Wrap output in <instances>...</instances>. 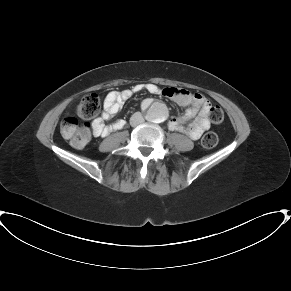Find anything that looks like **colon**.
I'll return each instance as SVG.
<instances>
[{
    "label": "colon",
    "instance_id": "colon-1",
    "mask_svg": "<svg viewBox=\"0 0 291 291\" xmlns=\"http://www.w3.org/2000/svg\"><path fill=\"white\" fill-rule=\"evenodd\" d=\"M101 108L100 97L90 94L84 97L77 106V116L84 120V123L75 117H67L61 123V135L67 139L71 145L77 148L84 147L91 139L90 121L97 116ZM210 119L215 124H220L224 119L221 107L214 106L209 111ZM218 137L214 132H209L202 138V145L206 149L216 146Z\"/></svg>",
    "mask_w": 291,
    "mask_h": 291
}]
</instances>
